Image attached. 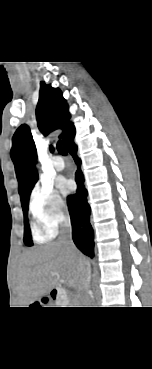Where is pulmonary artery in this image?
I'll return each mask as SVG.
<instances>
[{"label":"pulmonary artery","instance_id":"e3ab8cb5","mask_svg":"<svg viewBox=\"0 0 152 369\" xmlns=\"http://www.w3.org/2000/svg\"><path fill=\"white\" fill-rule=\"evenodd\" d=\"M52 166L56 171H62L65 168V163L60 156H54Z\"/></svg>","mask_w":152,"mask_h":369}]
</instances>
